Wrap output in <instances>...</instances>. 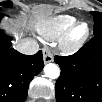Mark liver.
<instances>
[{
	"instance_id": "6515ba94",
	"label": "liver",
	"mask_w": 102,
	"mask_h": 102,
	"mask_svg": "<svg viewBox=\"0 0 102 102\" xmlns=\"http://www.w3.org/2000/svg\"><path fill=\"white\" fill-rule=\"evenodd\" d=\"M51 6L49 5H36L33 8V15L32 18L29 20L28 24H23L26 26V31L30 30L33 28V23L38 20V19H43L51 15ZM3 26L5 29L8 31L12 32L13 34L16 35V40L13 43V46L16 47L21 41H23L25 38H23L24 33H16V27L14 26L13 22L6 19L3 22Z\"/></svg>"
}]
</instances>
